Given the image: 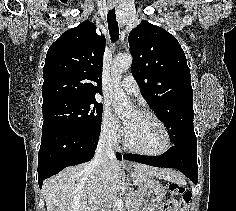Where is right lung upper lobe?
Returning a JSON list of instances; mask_svg holds the SVG:
<instances>
[{"label": "right lung upper lobe", "instance_id": "right-lung-upper-lobe-1", "mask_svg": "<svg viewBox=\"0 0 236 211\" xmlns=\"http://www.w3.org/2000/svg\"><path fill=\"white\" fill-rule=\"evenodd\" d=\"M105 38L89 21L64 32L49 48L43 70V104L61 98L95 99L102 94Z\"/></svg>", "mask_w": 236, "mask_h": 211}]
</instances>
